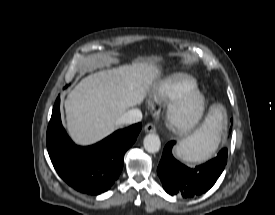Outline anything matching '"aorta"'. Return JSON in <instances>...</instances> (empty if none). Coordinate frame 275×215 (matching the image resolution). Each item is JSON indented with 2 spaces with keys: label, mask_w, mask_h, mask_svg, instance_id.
Returning <instances> with one entry per match:
<instances>
[{
  "label": "aorta",
  "mask_w": 275,
  "mask_h": 215,
  "mask_svg": "<svg viewBox=\"0 0 275 215\" xmlns=\"http://www.w3.org/2000/svg\"><path fill=\"white\" fill-rule=\"evenodd\" d=\"M144 148L150 153H157L161 148L160 138L156 134H148L144 138Z\"/></svg>",
  "instance_id": "762f6f07"
}]
</instances>
